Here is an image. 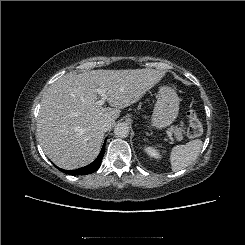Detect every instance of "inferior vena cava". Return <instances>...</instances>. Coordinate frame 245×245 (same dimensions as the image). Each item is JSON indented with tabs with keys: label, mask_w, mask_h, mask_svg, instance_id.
<instances>
[{
	"label": "inferior vena cava",
	"mask_w": 245,
	"mask_h": 245,
	"mask_svg": "<svg viewBox=\"0 0 245 245\" xmlns=\"http://www.w3.org/2000/svg\"><path fill=\"white\" fill-rule=\"evenodd\" d=\"M114 122L115 121L111 118L104 119L100 122L99 127L102 131L106 132L113 126Z\"/></svg>",
	"instance_id": "602c4592"
}]
</instances>
